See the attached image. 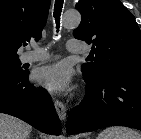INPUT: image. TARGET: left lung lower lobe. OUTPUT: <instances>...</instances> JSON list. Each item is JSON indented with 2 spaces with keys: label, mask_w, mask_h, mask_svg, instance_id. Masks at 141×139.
<instances>
[{
  "label": "left lung lower lobe",
  "mask_w": 141,
  "mask_h": 139,
  "mask_svg": "<svg viewBox=\"0 0 141 139\" xmlns=\"http://www.w3.org/2000/svg\"><path fill=\"white\" fill-rule=\"evenodd\" d=\"M83 77L86 95L69 113V135L108 126L141 130V74L109 71L99 78Z\"/></svg>",
  "instance_id": "1"
}]
</instances>
